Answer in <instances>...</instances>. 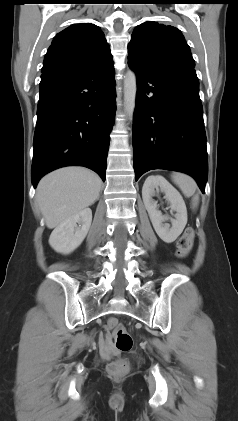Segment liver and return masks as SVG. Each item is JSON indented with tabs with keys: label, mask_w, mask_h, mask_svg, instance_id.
Listing matches in <instances>:
<instances>
[{
	"label": "liver",
	"mask_w": 238,
	"mask_h": 421,
	"mask_svg": "<svg viewBox=\"0 0 238 421\" xmlns=\"http://www.w3.org/2000/svg\"><path fill=\"white\" fill-rule=\"evenodd\" d=\"M100 177L82 167H67L44 176L36 191V201L48 228L92 205L99 196Z\"/></svg>",
	"instance_id": "obj_1"
}]
</instances>
